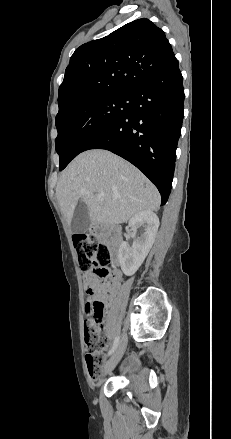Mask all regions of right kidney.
Returning <instances> with one entry per match:
<instances>
[{
	"label": "right kidney",
	"mask_w": 231,
	"mask_h": 439,
	"mask_svg": "<svg viewBox=\"0 0 231 439\" xmlns=\"http://www.w3.org/2000/svg\"><path fill=\"white\" fill-rule=\"evenodd\" d=\"M129 227L136 232L144 227L145 232L133 242L132 248L126 242L120 245L118 259L123 273L133 275L148 255L159 227V218L152 211H142L129 220Z\"/></svg>",
	"instance_id": "right-kidney-1"
}]
</instances>
